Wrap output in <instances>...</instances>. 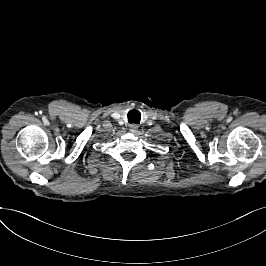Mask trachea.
<instances>
[{
  "label": "trachea",
  "mask_w": 266,
  "mask_h": 266,
  "mask_svg": "<svg viewBox=\"0 0 266 266\" xmlns=\"http://www.w3.org/2000/svg\"><path fill=\"white\" fill-rule=\"evenodd\" d=\"M141 114L137 110H131L128 112V121L129 123H136L138 124L140 122Z\"/></svg>",
  "instance_id": "1"
}]
</instances>
